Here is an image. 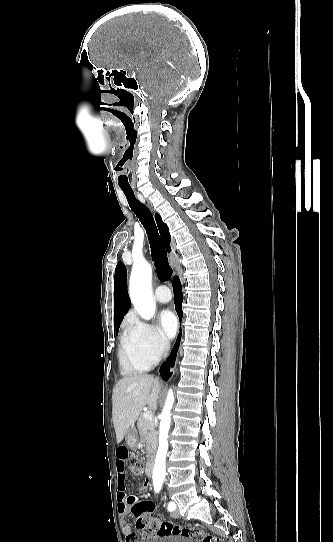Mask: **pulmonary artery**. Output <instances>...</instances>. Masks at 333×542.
Listing matches in <instances>:
<instances>
[{
	"mask_svg": "<svg viewBox=\"0 0 333 542\" xmlns=\"http://www.w3.org/2000/svg\"><path fill=\"white\" fill-rule=\"evenodd\" d=\"M156 292L158 291V295L156 294L155 295V299L157 302L161 303V304H167L170 302L171 298H170V292L167 288L166 285L164 284H161L158 286V288H156L155 290Z\"/></svg>",
	"mask_w": 333,
	"mask_h": 542,
	"instance_id": "e3ab8cb5",
	"label": "pulmonary artery"
}]
</instances>
